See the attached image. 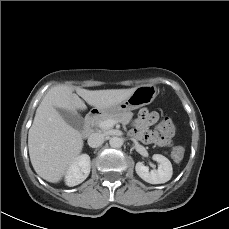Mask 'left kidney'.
I'll list each match as a JSON object with an SVG mask.
<instances>
[{"label":"left kidney","mask_w":229,"mask_h":229,"mask_svg":"<svg viewBox=\"0 0 229 229\" xmlns=\"http://www.w3.org/2000/svg\"><path fill=\"white\" fill-rule=\"evenodd\" d=\"M152 159L158 162V169L149 171L142 162L136 163L135 170L139 177L150 184H161L169 181L173 174L172 164L165 156L154 154Z\"/></svg>","instance_id":"1"}]
</instances>
